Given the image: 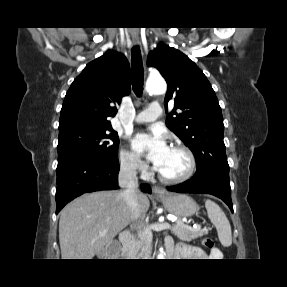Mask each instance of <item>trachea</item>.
I'll return each instance as SVG.
<instances>
[{
	"mask_svg": "<svg viewBox=\"0 0 287 287\" xmlns=\"http://www.w3.org/2000/svg\"><path fill=\"white\" fill-rule=\"evenodd\" d=\"M132 89L137 96L143 92L144 73L140 49L138 46L133 47L132 51Z\"/></svg>",
	"mask_w": 287,
	"mask_h": 287,
	"instance_id": "trachea-1",
	"label": "trachea"
}]
</instances>
